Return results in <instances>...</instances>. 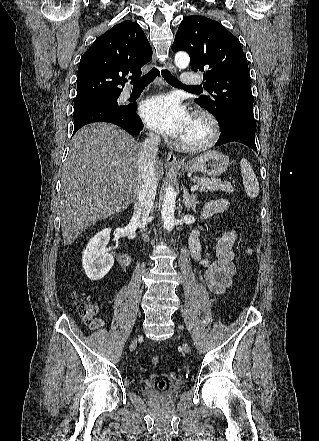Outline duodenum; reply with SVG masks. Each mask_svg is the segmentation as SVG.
Listing matches in <instances>:
<instances>
[{
	"instance_id": "duodenum-1",
	"label": "duodenum",
	"mask_w": 319,
	"mask_h": 441,
	"mask_svg": "<svg viewBox=\"0 0 319 441\" xmlns=\"http://www.w3.org/2000/svg\"><path fill=\"white\" fill-rule=\"evenodd\" d=\"M120 262L124 265H129L131 262V257L128 253H121L120 255Z\"/></svg>"
}]
</instances>
